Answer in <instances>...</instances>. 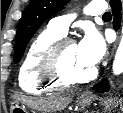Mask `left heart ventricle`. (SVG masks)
Listing matches in <instances>:
<instances>
[{
  "label": "left heart ventricle",
  "mask_w": 123,
  "mask_h": 113,
  "mask_svg": "<svg viewBox=\"0 0 123 113\" xmlns=\"http://www.w3.org/2000/svg\"><path fill=\"white\" fill-rule=\"evenodd\" d=\"M63 66L70 77H83L87 75L92 67L81 61L78 55L77 45L70 44L66 47L63 56Z\"/></svg>",
  "instance_id": "left-heart-ventricle-1"
}]
</instances>
